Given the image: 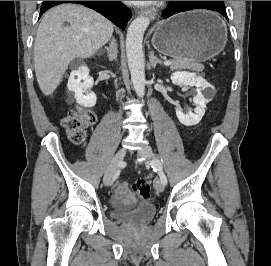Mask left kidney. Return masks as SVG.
Returning <instances> with one entry per match:
<instances>
[{
	"mask_svg": "<svg viewBox=\"0 0 271 266\" xmlns=\"http://www.w3.org/2000/svg\"><path fill=\"white\" fill-rule=\"evenodd\" d=\"M171 81L175 85L195 86L197 88V94L193 97V103L196 105L194 113L189 111L187 114H184L181 110L177 109L176 116L180 123L185 126L198 124L205 114L206 104L211 100V96L205 97L202 91L213 92V87L202 77L186 71L173 73Z\"/></svg>",
	"mask_w": 271,
	"mask_h": 266,
	"instance_id": "obj_1",
	"label": "left kidney"
}]
</instances>
